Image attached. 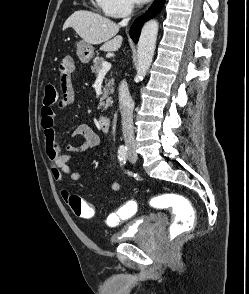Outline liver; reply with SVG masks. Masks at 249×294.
Wrapping results in <instances>:
<instances>
[{
  "label": "liver",
  "mask_w": 249,
  "mask_h": 294,
  "mask_svg": "<svg viewBox=\"0 0 249 294\" xmlns=\"http://www.w3.org/2000/svg\"><path fill=\"white\" fill-rule=\"evenodd\" d=\"M72 27L76 33L89 44H102L103 51H117L123 38L116 34L119 31V25L110 19L97 13L79 10L74 12L64 23L63 30Z\"/></svg>",
  "instance_id": "obj_1"
}]
</instances>
